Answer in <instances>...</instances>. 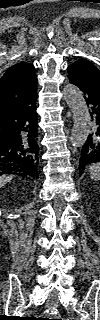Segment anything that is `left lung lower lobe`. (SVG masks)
<instances>
[{
    "label": "left lung lower lobe",
    "mask_w": 100,
    "mask_h": 320,
    "mask_svg": "<svg viewBox=\"0 0 100 320\" xmlns=\"http://www.w3.org/2000/svg\"><path fill=\"white\" fill-rule=\"evenodd\" d=\"M68 78L71 84L76 85L83 92L86 103L91 106L90 113L93 125L83 145L79 159L81 175L86 165L100 162V94L78 78L69 74Z\"/></svg>",
    "instance_id": "1"
}]
</instances>
